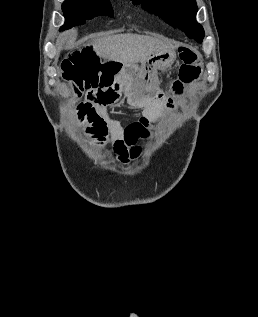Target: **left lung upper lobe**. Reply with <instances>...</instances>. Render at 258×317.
I'll list each match as a JSON object with an SVG mask.
<instances>
[{
    "instance_id": "5c2ea615",
    "label": "left lung upper lobe",
    "mask_w": 258,
    "mask_h": 317,
    "mask_svg": "<svg viewBox=\"0 0 258 317\" xmlns=\"http://www.w3.org/2000/svg\"><path fill=\"white\" fill-rule=\"evenodd\" d=\"M151 13L164 18L173 27H178L189 38L202 42L204 30L196 22L197 5L195 0H132Z\"/></svg>"
}]
</instances>
